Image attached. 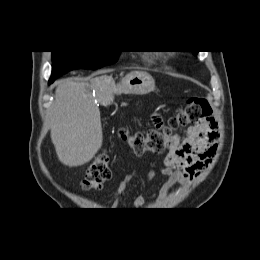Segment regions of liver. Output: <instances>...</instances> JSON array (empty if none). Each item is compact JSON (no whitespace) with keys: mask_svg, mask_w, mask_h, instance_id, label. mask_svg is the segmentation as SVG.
<instances>
[{"mask_svg":"<svg viewBox=\"0 0 260 260\" xmlns=\"http://www.w3.org/2000/svg\"><path fill=\"white\" fill-rule=\"evenodd\" d=\"M115 87L108 75L95 77L89 83L70 79L58 83L51 109V139L64 165L88 163L101 148L103 133L96 99H113ZM92 89L96 90V98Z\"/></svg>","mask_w":260,"mask_h":260,"instance_id":"1","label":"liver"}]
</instances>
